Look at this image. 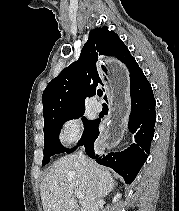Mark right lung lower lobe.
<instances>
[{
    "label": "right lung lower lobe",
    "mask_w": 179,
    "mask_h": 211,
    "mask_svg": "<svg viewBox=\"0 0 179 211\" xmlns=\"http://www.w3.org/2000/svg\"><path fill=\"white\" fill-rule=\"evenodd\" d=\"M130 100L128 129L134 133V141L128 148L107 155H95L94 142L99 135L100 120L96 121L93 131L82 144L89 157L115 170L127 184L135 179L149 155L156 121L152 88L141 69L130 78Z\"/></svg>",
    "instance_id": "98d812e1"
}]
</instances>
